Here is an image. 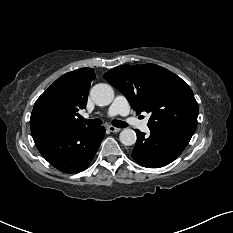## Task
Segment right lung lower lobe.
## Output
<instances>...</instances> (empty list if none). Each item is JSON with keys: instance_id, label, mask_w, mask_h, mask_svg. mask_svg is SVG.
Listing matches in <instances>:
<instances>
[{"instance_id": "right-lung-lower-lobe-1", "label": "right lung lower lobe", "mask_w": 233, "mask_h": 233, "mask_svg": "<svg viewBox=\"0 0 233 233\" xmlns=\"http://www.w3.org/2000/svg\"><path fill=\"white\" fill-rule=\"evenodd\" d=\"M105 134L104 127L72 131L41 130L32 133L41 155L64 173L85 170L95 156Z\"/></svg>"}]
</instances>
